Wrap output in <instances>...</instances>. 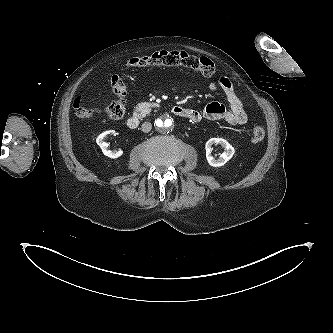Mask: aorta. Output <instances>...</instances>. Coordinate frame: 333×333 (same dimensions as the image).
Segmentation results:
<instances>
[{
    "instance_id": "obj_1",
    "label": "aorta",
    "mask_w": 333,
    "mask_h": 333,
    "mask_svg": "<svg viewBox=\"0 0 333 333\" xmlns=\"http://www.w3.org/2000/svg\"><path fill=\"white\" fill-rule=\"evenodd\" d=\"M156 126L160 132H167L171 129L172 120L168 117L160 118L156 121Z\"/></svg>"
}]
</instances>
